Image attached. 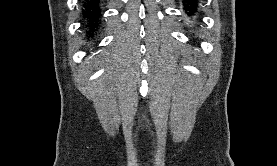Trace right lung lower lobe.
Instances as JSON below:
<instances>
[{"label":"right lung lower lobe","mask_w":277,"mask_h":166,"mask_svg":"<svg viewBox=\"0 0 277 166\" xmlns=\"http://www.w3.org/2000/svg\"><path fill=\"white\" fill-rule=\"evenodd\" d=\"M99 0H83L82 21L87 29L88 37L98 30L101 23V8Z\"/></svg>","instance_id":"1"}]
</instances>
